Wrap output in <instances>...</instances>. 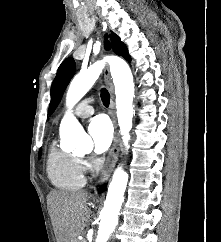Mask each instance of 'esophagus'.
<instances>
[{"label":"esophagus","mask_w":221,"mask_h":242,"mask_svg":"<svg viewBox=\"0 0 221 242\" xmlns=\"http://www.w3.org/2000/svg\"><path fill=\"white\" fill-rule=\"evenodd\" d=\"M104 76L106 79V83L110 92V110H109V114L111 116L112 122H113V126H114V138H113V143L106 161V164L101 172V176H100V181L105 182L114 166L115 163L117 161L118 158V154H119V144H120V136H119V132H118V128H117V121H116V116H115V102H114V86L110 77V73H109V69L108 67L105 68L104 70Z\"/></svg>","instance_id":"34e87169"}]
</instances>
